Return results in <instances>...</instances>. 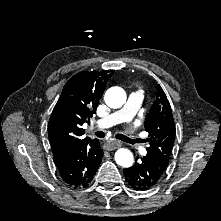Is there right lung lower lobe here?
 Returning a JSON list of instances; mask_svg holds the SVG:
<instances>
[{
    "label": "right lung lower lobe",
    "mask_w": 221,
    "mask_h": 221,
    "mask_svg": "<svg viewBox=\"0 0 221 221\" xmlns=\"http://www.w3.org/2000/svg\"><path fill=\"white\" fill-rule=\"evenodd\" d=\"M103 157L98 139L86 141L55 162L62 180L74 188L87 187Z\"/></svg>",
    "instance_id": "obj_1"
}]
</instances>
